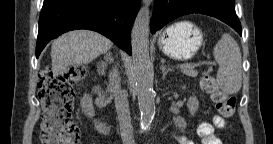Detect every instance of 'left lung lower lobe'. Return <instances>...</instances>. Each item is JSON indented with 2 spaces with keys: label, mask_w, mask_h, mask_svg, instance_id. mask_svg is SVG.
<instances>
[{
  "label": "left lung lower lobe",
  "mask_w": 273,
  "mask_h": 144,
  "mask_svg": "<svg viewBox=\"0 0 273 144\" xmlns=\"http://www.w3.org/2000/svg\"><path fill=\"white\" fill-rule=\"evenodd\" d=\"M192 13L218 18L242 35L235 0H154L150 31L155 33L175 18Z\"/></svg>",
  "instance_id": "obj_1"
}]
</instances>
